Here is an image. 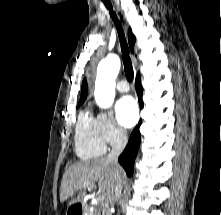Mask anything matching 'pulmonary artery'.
Wrapping results in <instances>:
<instances>
[{"label": "pulmonary artery", "mask_w": 221, "mask_h": 215, "mask_svg": "<svg viewBox=\"0 0 221 215\" xmlns=\"http://www.w3.org/2000/svg\"><path fill=\"white\" fill-rule=\"evenodd\" d=\"M117 90L120 92H128L129 91V84L126 80H121L117 83Z\"/></svg>", "instance_id": "e3ab8cb5"}]
</instances>
